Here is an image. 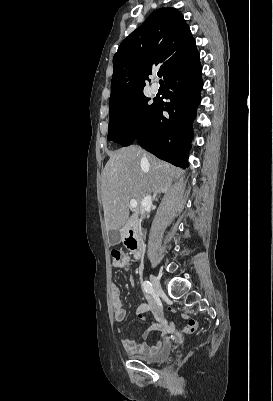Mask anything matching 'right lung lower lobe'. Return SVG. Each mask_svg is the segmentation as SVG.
I'll use <instances>...</instances> for the list:
<instances>
[{
	"mask_svg": "<svg viewBox=\"0 0 273 401\" xmlns=\"http://www.w3.org/2000/svg\"><path fill=\"white\" fill-rule=\"evenodd\" d=\"M199 58L175 68L165 79L169 103L156 102L150 122L141 128L135 141L158 158L185 168L193 138L192 122L196 117L203 87ZM163 111L169 117L163 116Z\"/></svg>",
	"mask_w": 273,
	"mask_h": 401,
	"instance_id": "1",
	"label": "right lung lower lobe"
}]
</instances>
